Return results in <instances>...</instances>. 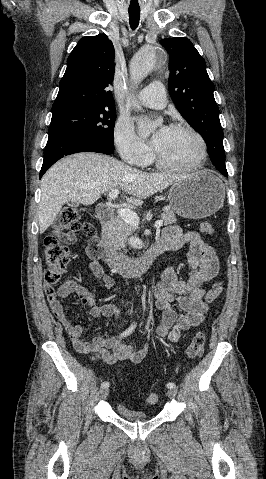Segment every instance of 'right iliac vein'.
Segmentation results:
<instances>
[{
    "mask_svg": "<svg viewBox=\"0 0 266 479\" xmlns=\"http://www.w3.org/2000/svg\"><path fill=\"white\" fill-rule=\"evenodd\" d=\"M109 394V389L108 387H102L100 389V397L103 399V398H106Z\"/></svg>",
    "mask_w": 266,
    "mask_h": 479,
    "instance_id": "obj_1",
    "label": "right iliac vein"
}]
</instances>
